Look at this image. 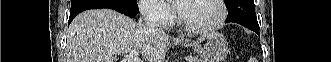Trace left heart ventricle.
I'll use <instances>...</instances> for the list:
<instances>
[{
  "label": "left heart ventricle",
  "mask_w": 331,
  "mask_h": 62,
  "mask_svg": "<svg viewBox=\"0 0 331 62\" xmlns=\"http://www.w3.org/2000/svg\"><path fill=\"white\" fill-rule=\"evenodd\" d=\"M180 13L188 24L202 26L216 21L220 10L214 0H190L181 2Z\"/></svg>",
  "instance_id": "left-heart-ventricle-1"
}]
</instances>
